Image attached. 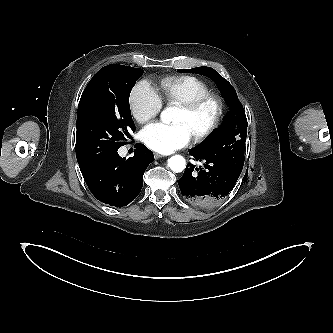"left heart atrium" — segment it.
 <instances>
[{
	"instance_id": "left-heart-atrium-1",
	"label": "left heart atrium",
	"mask_w": 333,
	"mask_h": 333,
	"mask_svg": "<svg viewBox=\"0 0 333 333\" xmlns=\"http://www.w3.org/2000/svg\"><path fill=\"white\" fill-rule=\"evenodd\" d=\"M140 136L149 149L163 154L183 148L191 140V134L185 125H166L159 122L146 126Z\"/></svg>"
}]
</instances>
